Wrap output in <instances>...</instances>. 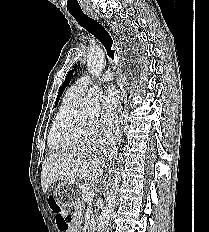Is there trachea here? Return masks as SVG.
<instances>
[{
  "mask_svg": "<svg viewBox=\"0 0 209 232\" xmlns=\"http://www.w3.org/2000/svg\"><path fill=\"white\" fill-rule=\"evenodd\" d=\"M70 14L76 19L80 26L85 28L102 43L107 50L108 56L114 59L115 50L111 49L113 40L107 30L97 21L87 16L82 10L70 12Z\"/></svg>",
  "mask_w": 209,
  "mask_h": 232,
  "instance_id": "3493384b",
  "label": "trachea"
}]
</instances>
